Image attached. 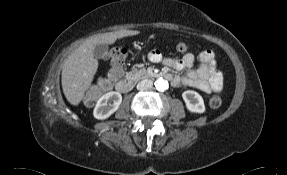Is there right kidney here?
Segmentation results:
<instances>
[{
	"mask_svg": "<svg viewBox=\"0 0 287 175\" xmlns=\"http://www.w3.org/2000/svg\"><path fill=\"white\" fill-rule=\"evenodd\" d=\"M122 96L118 92H108L97 102L93 115L97 119H106L113 114L120 106Z\"/></svg>",
	"mask_w": 287,
	"mask_h": 175,
	"instance_id": "1",
	"label": "right kidney"
}]
</instances>
